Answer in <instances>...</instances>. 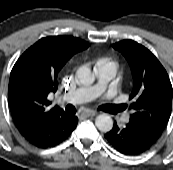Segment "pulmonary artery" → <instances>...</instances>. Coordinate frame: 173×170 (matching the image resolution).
<instances>
[{
    "label": "pulmonary artery",
    "mask_w": 173,
    "mask_h": 170,
    "mask_svg": "<svg viewBox=\"0 0 173 170\" xmlns=\"http://www.w3.org/2000/svg\"><path fill=\"white\" fill-rule=\"evenodd\" d=\"M95 74V84L72 90L64 98L73 104L85 103L96 99L108 88L110 81L115 76V69L100 61L95 66ZM126 120L127 116H124L123 121Z\"/></svg>",
    "instance_id": "1"
}]
</instances>
